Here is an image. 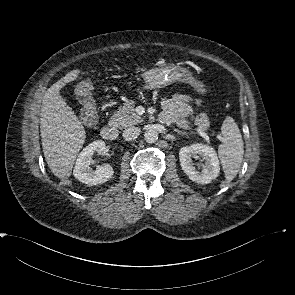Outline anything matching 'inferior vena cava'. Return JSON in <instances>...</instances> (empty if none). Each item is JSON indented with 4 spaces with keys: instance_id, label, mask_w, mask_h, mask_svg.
Listing matches in <instances>:
<instances>
[{
    "instance_id": "inferior-vena-cava-1",
    "label": "inferior vena cava",
    "mask_w": 295,
    "mask_h": 295,
    "mask_svg": "<svg viewBox=\"0 0 295 295\" xmlns=\"http://www.w3.org/2000/svg\"><path fill=\"white\" fill-rule=\"evenodd\" d=\"M140 134V128L138 127H129L123 131V138L126 141H131L136 139Z\"/></svg>"
}]
</instances>
